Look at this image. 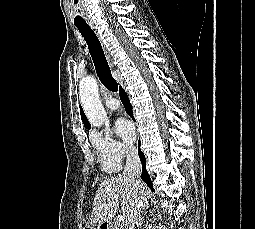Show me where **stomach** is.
Here are the masks:
<instances>
[{"label":"stomach","mask_w":255,"mask_h":229,"mask_svg":"<svg viewBox=\"0 0 255 229\" xmlns=\"http://www.w3.org/2000/svg\"><path fill=\"white\" fill-rule=\"evenodd\" d=\"M87 229H100V225H98V226H87Z\"/></svg>","instance_id":"obj_1"}]
</instances>
